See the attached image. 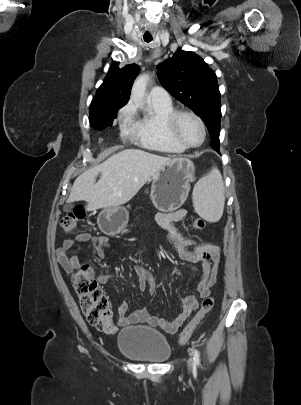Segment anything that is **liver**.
I'll list each match as a JSON object with an SVG mask.
<instances>
[{
    "mask_svg": "<svg viewBox=\"0 0 301 405\" xmlns=\"http://www.w3.org/2000/svg\"><path fill=\"white\" fill-rule=\"evenodd\" d=\"M169 160L139 149H126L76 178L68 202L86 201L87 210L119 208ZM101 178L96 182L97 175Z\"/></svg>",
    "mask_w": 301,
    "mask_h": 405,
    "instance_id": "obj_1",
    "label": "liver"
}]
</instances>
